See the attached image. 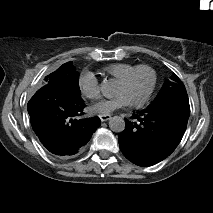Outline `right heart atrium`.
Masks as SVG:
<instances>
[{
  "mask_svg": "<svg viewBox=\"0 0 213 213\" xmlns=\"http://www.w3.org/2000/svg\"><path fill=\"white\" fill-rule=\"evenodd\" d=\"M79 87L83 95L88 98H98L102 91L98 77L90 71H85L79 78Z\"/></svg>",
  "mask_w": 213,
  "mask_h": 213,
  "instance_id": "1",
  "label": "right heart atrium"
}]
</instances>
